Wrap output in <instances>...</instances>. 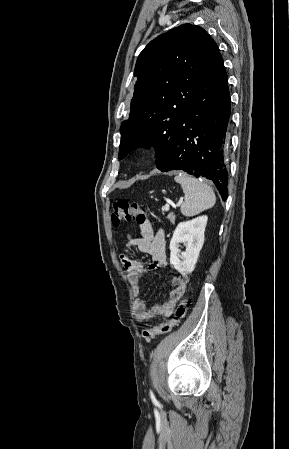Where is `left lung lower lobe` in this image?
<instances>
[{
    "instance_id": "1",
    "label": "left lung lower lobe",
    "mask_w": 289,
    "mask_h": 449,
    "mask_svg": "<svg viewBox=\"0 0 289 449\" xmlns=\"http://www.w3.org/2000/svg\"><path fill=\"white\" fill-rule=\"evenodd\" d=\"M231 100L223 59L218 52L198 84L193 101L177 123L167 156L157 163L162 172L183 170L211 180L227 199L225 151Z\"/></svg>"
}]
</instances>
